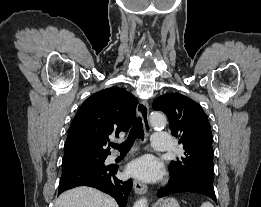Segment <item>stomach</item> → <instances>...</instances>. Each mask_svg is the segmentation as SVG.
Instances as JSON below:
<instances>
[{"instance_id":"stomach-1","label":"stomach","mask_w":261,"mask_h":207,"mask_svg":"<svg viewBox=\"0 0 261 207\" xmlns=\"http://www.w3.org/2000/svg\"><path fill=\"white\" fill-rule=\"evenodd\" d=\"M154 207H180L175 198H166L158 201Z\"/></svg>"}]
</instances>
